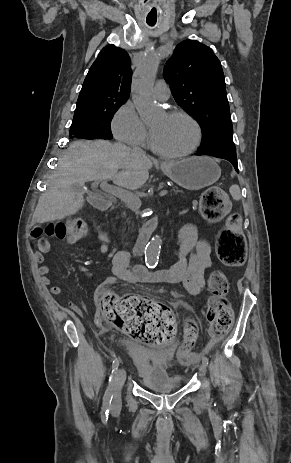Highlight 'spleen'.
Wrapping results in <instances>:
<instances>
[{"instance_id":"obj_1","label":"spleen","mask_w":291,"mask_h":463,"mask_svg":"<svg viewBox=\"0 0 291 463\" xmlns=\"http://www.w3.org/2000/svg\"><path fill=\"white\" fill-rule=\"evenodd\" d=\"M229 192L232 196V198L234 200H240L241 199V192H240V188L238 185H232L230 188H229Z\"/></svg>"}]
</instances>
